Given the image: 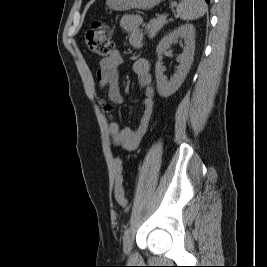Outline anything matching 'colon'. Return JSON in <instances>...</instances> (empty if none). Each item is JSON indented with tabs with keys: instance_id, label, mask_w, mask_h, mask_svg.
<instances>
[{
	"instance_id": "1",
	"label": "colon",
	"mask_w": 267,
	"mask_h": 267,
	"mask_svg": "<svg viewBox=\"0 0 267 267\" xmlns=\"http://www.w3.org/2000/svg\"><path fill=\"white\" fill-rule=\"evenodd\" d=\"M113 29L110 25L95 21L91 29L87 32L86 43L88 48L98 56L107 58L113 52L112 41ZM114 166V195L119 205L127 204L125 191L123 187V161L120 158H115Z\"/></svg>"
}]
</instances>
